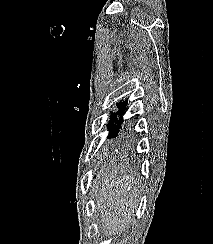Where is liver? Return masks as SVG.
<instances>
[{"label": "liver", "instance_id": "liver-1", "mask_svg": "<svg viewBox=\"0 0 213 244\" xmlns=\"http://www.w3.org/2000/svg\"><path fill=\"white\" fill-rule=\"evenodd\" d=\"M96 210L100 212V227L111 236L124 230L137 208L140 180L120 172L110 165L97 176Z\"/></svg>", "mask_w": 213, "mask_h": 244}]
</instances>
